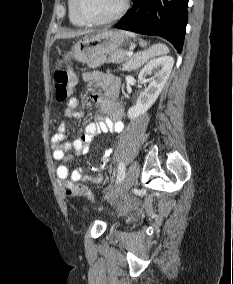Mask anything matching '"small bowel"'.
<instances>
[{"label":"small bowel","mask_w":233,"mask_h":284,"mask_svg":"<svg viewBox=\"0 0 233 284\" xmlns=\"http://www.w3.org/2000/svg\"><path fill=\"white\" fill-rule=\"evenodd\" d=\"M83 79L91 84H96L104 92V96L94 94L91 96V102L100 107L103 114L106 116L103 120L91 122L86 125L84 134L81 137L71 140H66V124L63 121L58 123L57 129L50 138V146L53 150V158L56 161H68L70 155L68 152L74 150L76 153H81L86 150L92 139L99 133L112 132L120 133L124 129L121 121L122 109L113 100L120 86L118 79L111 75H106L97 71L86 72L83 74ZM79 102L76 98L68 101L63 113L69 118H80L83 112L78 109ZM111 157V150L107 149L101 159L100 166L96 169V173L91 175L86 173L83 167H79L70 172L66 164H60L56 169L57 177L63 181L65 188L72 189L75 184L83 182L99 183L101 181L100 171L104 169Z\"/></svg>","instance_id":"obj_1"}]
</instances>
